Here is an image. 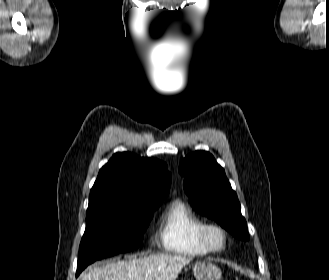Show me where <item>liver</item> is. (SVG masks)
<instances>
[{"label":"liver","mask_w":329,"mask_h":280,"mask_svg":"<svg viewBox=\"0 0 329 280\" xmlns=\"http://www.w3.org/2000/svg\"><path fill=\"white\" fill-rule=\"evenodd\" d=\"M191 257L153 254L95 266L81 280H176Z\"/></svg>","instance_id":"1"}]
</instances>
